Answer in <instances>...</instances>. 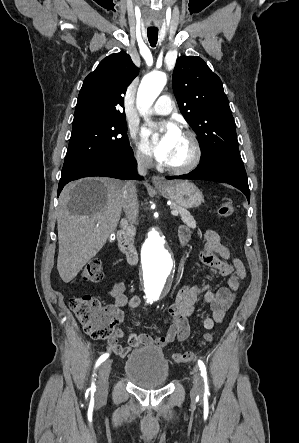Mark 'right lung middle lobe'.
I'll return each instance as SVG.
<instances>
[{
	"instance_id": "right-lung-middle-lobe-1",
	"label": "right lung middle lobe",
	"mask_w": 299,
	"mask_h": 443,
	"mask_svg": "<svg viewBox=\"0 0 299 443\" xmlns=\"http://www.w3.org/2000/svg\"><path fill=\"white\" fill-rule=\"evenodd\" d=\"M124 118L91 119L73 124L61 177L94 161L131 150Z\"/></svg>"
}]
</instances>
